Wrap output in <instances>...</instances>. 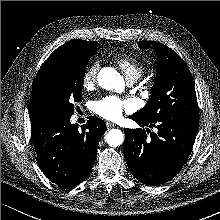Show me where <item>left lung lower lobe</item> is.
<instances>
[{
	"instance_id": "0a47b994",
	"label": "left lung lower lobe",
	"mask_w": 220,
	"mask_h": 220,
	"mask_svg": "<svg viewBox=\"0 0 220 220\" xmlns=\"http://www.w3.org/2000/svg\"><path fill=\"white\" fill-rule=\"evenodd\" d=\"M141 127H155L157 132L126 129L124 156L130 172L142 183L156 186L171 180L186 163L196 138L199 116L166 114L154 121L134 115Z\"/></svg>"
}]
</instances>
